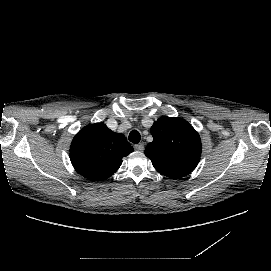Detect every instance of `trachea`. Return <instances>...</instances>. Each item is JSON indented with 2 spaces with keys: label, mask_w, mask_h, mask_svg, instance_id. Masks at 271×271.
Wrapping results in <instances>:
<instances>
[{
  "label": "trachea",
  "mask_w": 271,
  "mask_h": 271,
  "mask_svg": "<svg viewBox=\"0 0 271 271\" xmlns=\"http://www.w3.org/2000/svg\"><path fill=\"white\" fill-rule=\"evenodd\" d=\"M141 136L140 133L136 130H133L129 134V141H131L134 144H137L140 142Z\"/></svg>",
  "instance_id": "1"
}]
</instances>
